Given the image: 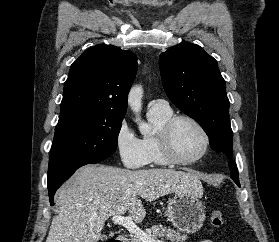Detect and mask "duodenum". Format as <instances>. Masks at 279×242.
<instances>
[{"label": "duodenum", "mask_w": 279, "mask_h": 242, "mask_svg": "<svg viewBox=\"0 0 279 242\" xmlns=\"http://www.w3.org/2000/svg\"><path fill=\"white\" fill-rule=\"evenodd\" d=\"M115 242H129V239L125 236H118Z\"/></svg>", "instance_id": "duodenum-1"}]
</instances>
